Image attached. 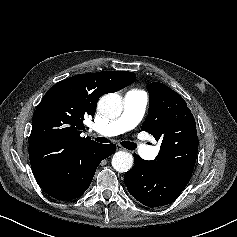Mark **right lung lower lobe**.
Wrapping results in <instances>:
<instances>
[{
	"label": "right lung lower lobe",
	"instance_id": "98d812e1",
	"mask_svg": "<svg viewBox=\"0 0 237 237\" xmlns=\"http://www.w3.org/2000/svg\"><path fill=\"white\" fill-rule=\"evenodd\" d=\"M116 150L114 144H99L78 151L63 167L53 173L36 177L39 186L58 200L75 199L84 194L103 159Z\"/></svg>",
	"mask_w": 237,
	"mask_h": 237
}]
</instances>
